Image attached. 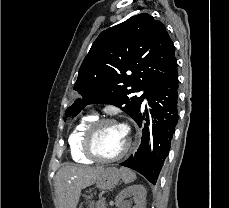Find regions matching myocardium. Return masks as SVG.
<instances>
[{"label": "myocardium", "instance_id": "f54148a6", "mask_svg": "<svg viewBox=\"0 0 229 208\" xmlns=\"http://www.w3.org/2000/svg\"><path fill=\"white\" fill-rule=\"evenodd\" d=\"M106 124H114L121 127L119 122L110 118H100L93 121L89 125L85 133V143L83 144L84 148H81V153H86L85 154L86 158H94L101 162H114L126 157L129 154V152L132 150L134 143L132 139L127 135L128 136L127 145L125 146L122 152L117 154V157H99L98 156L99 152H93V147H94L93 139H97L100 129Z\"/></svg>", "mask_w": 229, "mask_h": 208}]
</instances>
